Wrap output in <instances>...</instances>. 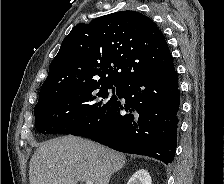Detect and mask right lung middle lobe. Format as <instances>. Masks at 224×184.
Listing matches in <instances>:
<instances>
[{"mask_svg":"<svg viewBox=\"0 0 224 184\" xmlns=\"http://www.w3.org/2000/svg\"><path fill=\"white\" fill-rule=\"evenodd\" d=\"M121 89L122 85L97 82L66 88L37 103L36 130L43 134H71L100 117L117 100Z\"/></svg>","mask_w":224,"mask_h":184,"instance_id":"right-lung-middle-lobe-1","label":"right lung middle lobe"}]
</instances>
